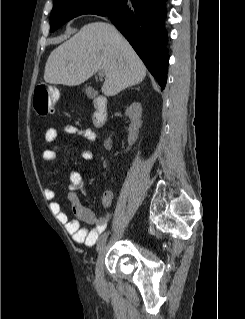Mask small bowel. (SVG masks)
<instances>
[{"mask_svg": "<svg viewBox=\"0 0 245 319\" xmlns=\"http://www.w3.org/2000/svg\"><path fill=\"white\" fill-rule=\"evenodd\" d=\"M67 134H76L84 138L90 143H94L97 140L95 132L90 128H78L74 125H67L64 128ZM58 136V130L56 128H49L44 135V141L46 144L51 145L55 142ZM59 147L54 146L46 149L42 154V159L45 163L51 164L58 159ZM92 157V151L90 149H84L81 152V158L88 160ZM69 194L68 200L71 203V209L74 218L70 219L68 214L62 210L59 202L54 201L55 193L52 189L46 188L44 191L45 198L51 200L50 208L52 212L57 216L58 220L63 223L68 233L71 234L74 241L77 243H83L88 246L94 245L100 234L105 230L109 220L111 219V213L97 214L93 210L85 207L77 194V191H81L87 195V181L76 170H72L69 173ZM113 199V192L111 189L106 190L102 195L101 204L104 209L111 205ZM90 225L91 228H87L82 224Z\"/></svg>", "mask_w": 245, "mask_h": 319, "instance_id": "1", "label": "small bowel"}]
</instances>
